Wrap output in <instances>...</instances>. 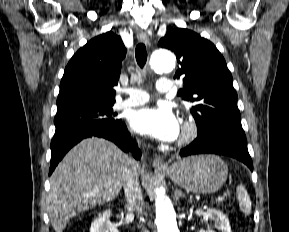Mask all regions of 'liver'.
Instances as JSON below:
<instances>
[{"mask_svg": "<svg viewBox=\"0 0 289 232\" xmlns=\"http://www.w3.org/2000/svg\"><path fill=\"white\" fill-rule=\"evenodd\" d=\"M130 160L102 138H87L73 147L50 178L48 213L55 232H62L76 214L115 199Z\"/></svg>", "mask_w": 289, "mask_h": 232, "instance_id": "6515ba94", "label": "liver"}]
</instances>
